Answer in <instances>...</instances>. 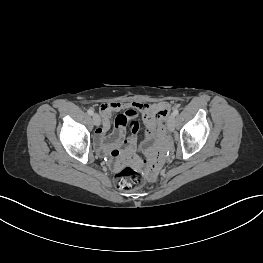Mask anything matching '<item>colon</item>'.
<instances>
[{"mask_svg":"<svg viewBox=\"0 0 263 263\" xmlns=\"http://www.w3.org/2000/svg\"><path fill=\"white\" fill-rule=\"evenodd\" d=\"M143 180L142 172L132 166L121 168L116 172L114 177L116 187L122 191H131L139 188L142 185Z\"/></svg>","mask_w":263,"mask_h":263,"instance_id":"colon-1","label":"colon"}]
</instances>
